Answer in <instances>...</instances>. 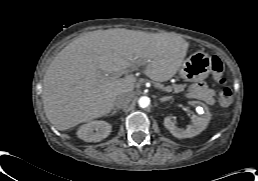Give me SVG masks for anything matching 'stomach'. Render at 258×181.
Returning <instances> with one entry per match:
<instances>
[{"label": "stomach", "instance_id": "stomach-1", "mask_svg": "<svg viewBox=\"0 0 258 181\" xmlns=\"http://www.w3.org/2000/svg\"><path fill=\"white\" fill-rule=\"evenodd\" d=\"M211 63V57L208 54L197 51L183 61L179 74L187 82L203 80L210 73Z\"/></svg>", "mask_w": 258, "mask_h": 181}]
</instances>
